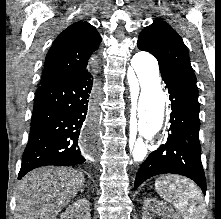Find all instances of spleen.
<instances>
[{
  "mask_svg": "<svg viewBox=\"0 0 221 219\" xmlns=\"http://www.w3.org/2000/svg\"><path fill=\"white\" fill-rule=\"evenodd\" d=\"M157 193L174 205L183 219H203L206 214L201 192L196 185L180 176H163L156 180Z\"/></svg>",
  "mask_w": 221,
  "mask_h": 219,
  "instance_id": "3e777b00",
  "label": "spleen"
}]
</instances>
